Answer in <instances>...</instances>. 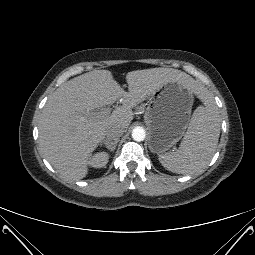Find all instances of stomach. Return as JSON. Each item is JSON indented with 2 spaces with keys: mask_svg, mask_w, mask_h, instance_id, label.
I'll return each mask as SVG.
<instances>
[{
  "mask_svg": "<svg viewBox=\"0 0 255 255\" xmlns=\"http://www.w3.org/2000/svg\"><path fill=\"white\" fill-rule=\"evenodd\" d=\"M194 94L178 80L165 83L148 97L144 120L149 130V149L166 153L189 126Z\"/></svg>",
  "mask_w": 255,
  "mask_h": 255,
  "instance_id": "0dacf381",
  "label": "stomach"
}]
</instances>
